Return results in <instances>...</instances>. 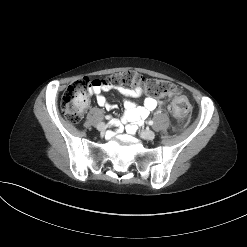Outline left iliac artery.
Instances as JSON below:
<instances>
[{"label": "left iliac artery", "mask_w": 247, "mask_h": 247, "mask_svg": "<svg viewBox=\"0 0 247 247\" xmlns=\"http://www.w3.org/2000/svg\"><path fill=\"white\" fill-rule=\"evenodd\" d=\"M148 124L153 125V121L152 120L148 121Z\"/></svg>", "instance_id": "44dca946"}]
</instances>
